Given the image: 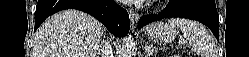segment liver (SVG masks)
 I'll return each instance as SVG.
<instances>
[{"instance_id":"obj_1","label":"liver","mask_w":249,"mask_h":57,"mask_svg":"<svg viewBox=\"0 0 249 57\" xmlns=\"http://www.w3.org/2000/svg\"><path fill=\"white\" fill-rule=\"evenodd\" d=\"M103 25L78 10L53 15L35 33L34 57H99Z\"/></svg>"}]
</instances>
